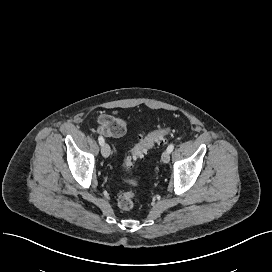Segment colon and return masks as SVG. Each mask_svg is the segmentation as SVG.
Wrapping results in <instances>:
<instances>
[{
    "label": "colon",
    "instance_id": "5ec220e1",
    "mask_svg": "<svg viewBox=\"0 0 272 272\" xmlns=\"http://www.w3.org/2000/svg\"><path fill=\"white\" fill-rule=\"evenodd\" d=\"M99 131L105 136H121L125 131L124 120L113 115H103L99 121ZM169 130L167 128H158L145 138L140 139L134 144L133 149L125 156L123 162L124 171L130 172L134 166L136 158L143 156L155 145L167 140ZM127 182L131 186L137 185V180L129 178ZM134 191H128L118 197L117 204L121 210L128 211L134 207Z\"/></svg>",
    "mask_w": 272,
    "mask_h": 272
}]
</instances>
